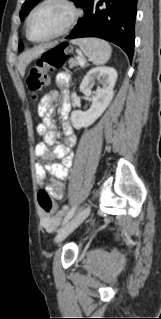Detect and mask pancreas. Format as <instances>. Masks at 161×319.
<instances>
[{
	"label": "pancreas",
	"mask_w": 161,
	"mask_h": 319,
	"mask_svg": "<svg viewBox=\"0 0 161 319\" xmlns=\"http://www.w3.org/2000/svg\"><path fill=\"white\" fill-rule=\"evenodd\" d=\"M69 64H70V68H73L75 66H78L79 65V62L77 60H74V59H71L69 61Z\"/></svg>",
	"instance_id": "pancreas-1"
}]
</instances>
